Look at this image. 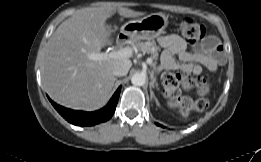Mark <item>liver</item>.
I'll list each match as a JSON object with an SVG mask.
<instances>
[{"instance_id": "obj_1", "label": "liver", "mask_w": 261, "mask_h": 162, "mask_svg": "<svg viewBox=\"0 0 261 162\" xmlns=\"http://www.w3.org/2000/svg\"><path fill=\"white\" fill-rule=\"evenodd\" d=\"M116 12L126 18L144 15L111 3L81 10L62 22L48 40L41 73L47 94L57 103L78 110L102 107L111 92L113 68L128 59L95 61L110 37L106 21Z\"/></svg>"}]
</instances>
